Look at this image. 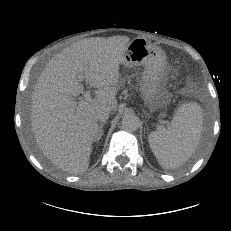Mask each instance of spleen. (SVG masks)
Masks as SVG:
<instances>
[{
    "mask_svg": "<svg viewBox=\"0 0 231 231\" xmlns=\"http://www.w3.org/2000/svg\"><path fill=\"white\" fill-rule=\"evenodd\" d=\"M203 118L200 105L185 103L167 126H158L148 135L153 154L163 168H176L195 152L201 140Z\"/></svg>",
    "mask_w": 231,
    "mask_h": 231,
    "instance_id": "3e777b00",
    "label": "spleen"
}]
</instances>
